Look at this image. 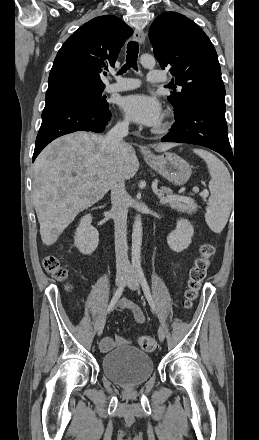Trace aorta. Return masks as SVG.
I'll list each match as a JSON object with an SVG mask.
<instances>
[{"mask_svg":"<svg viewBox=\"0 0 259 440\" xmlns=\"http://www.w3.org/2000/svg\"><path fill=\"white\" fill-rule=\"evenodd\" d=\"M140 63L144 68L153 69L155 67V59L153 56L144 54L140 58ZM142 244V221L141 216L137 215L133 224L132 232V261L139 262Z\"/></svg>","mask_w":259,"mask_h":440,"instance_id":"1","label":"aorta"}]
</instances>
